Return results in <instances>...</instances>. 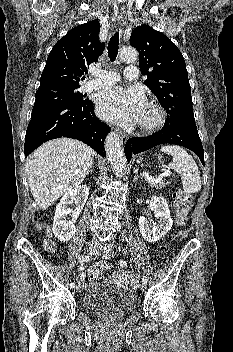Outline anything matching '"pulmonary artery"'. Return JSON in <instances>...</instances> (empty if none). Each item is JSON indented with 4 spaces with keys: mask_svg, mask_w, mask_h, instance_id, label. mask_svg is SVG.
Returning a JSON list of instances; mask_svg holds the SVG:
<instances>
[{
    "mask_svg": "<svg viewBox=\"0 0 233 352\" xmlns=\"http://www.w3.org/2000/svg\"><path fill=\"white\" fill-rule=\"evenodd\" d=\"M93 75L96 78L87 81L83 85V89L87 92L110 86L119 80V74L114 71L96 70L93 72ZM124 75L128 80H135L138 77L137 67L133 65L127 66Z\"/></svg>",
    "mask_w": 233,
    "mask_h": 352,
    "instance_id": "obj_1",
    "label": "pulmonary artery"
}]
</instances>
